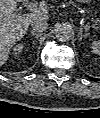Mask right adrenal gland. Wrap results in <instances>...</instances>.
I'll return each instance as SVG.
<instances>
[{
    "mask_svg": "<svg viewBox=\"0 0 100 118\" xmlns=\"http://www.w3.org/2000/svg\"><path fill=\"white\" fill-rule=\"evenodd\" d=\"M30 33L35 36L36 39H38L42 34L41 33H36L34 30H30Z\"/></svg>",
    "mask_w": 100,
    "mask_h": 118,
    "instance_id": "right-adrenal-gland-1",
    "label": "right adrenal gland"
}]
</instances>
